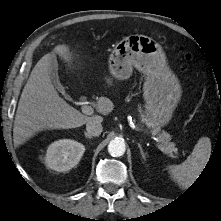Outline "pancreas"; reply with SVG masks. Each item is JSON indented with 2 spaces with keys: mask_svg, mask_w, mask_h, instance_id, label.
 <instances>
[{
  "mask_svg": "<svg viewBox=\"0 0 221 221\" xmlns=\"http://www.w3.org/2000/svg\"><path fill=\"white\" fill-rule=\"evenodd\" d=\"M153 135H158V139L161 142L163 152L170 157H175L174 154H177L178 149L175 147V144L171 142V135L165 131L160 133L159 128H155L152 131Z\"/></svg>",
  "mask_w": 221,
  "mask_h": 221,
  "instance_id": "cf45deb5",
  "label": "pancreas"
}]
</instances>
